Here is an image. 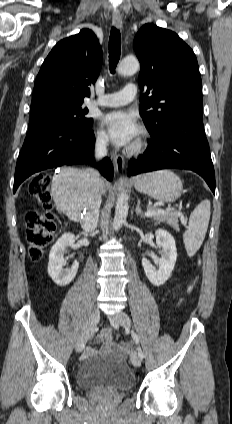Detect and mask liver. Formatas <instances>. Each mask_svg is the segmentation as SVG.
<instances>
[{
	"label": "liver",
	"mask_w": 232,
	"mask_h": 424,
	"mask_svg": "<svg viewBox=\"0 0 232 424\" xmlns=\"http://www.w3.org/2000/svg\"><path fill=\"white\" fill-rule=\"evenodd\" d=\"M106 184L102 181L101 191L105 193ZM91 181L86 171L73 167H61L54 175L51 196L57 208L74 221H80L88 203Z\"/></svg>",
	"instance_id": "6515ba94"
}]
</instances>
